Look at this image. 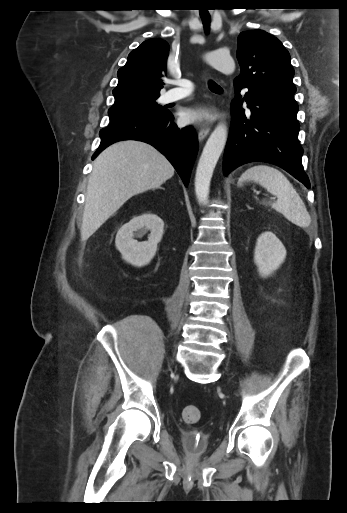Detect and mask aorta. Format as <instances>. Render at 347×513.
Segmentation results:
<instances>
[{
    "mask_svg": "<svg viewBox=\"0 0 347 513\" xmlns=\"http://www.w3.org/2000/svg\"><path fill=\"white\" fill-rule=\"evenodd\" d=\"M205 60L216 70L223 74H232L235 70V61L228 52L212 51L205 56ZM227 126L220 123L209 136L200 156L195 174V194L200 204H206L209 196L210 182L227 141Z\"/></svg>",
    "mask_w": 347,
    "mask_h": 513,
    "instance_id": "762f6f07",
    "label": "aorta"
}]
</instances>
